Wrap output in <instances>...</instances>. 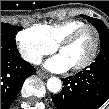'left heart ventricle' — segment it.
<instances>
[{
    "instance_id": "1",
    "label": "left heart ventricle",
    "mask_w": 109,
    "mask_h": 109,
    "mask_svg": "<svg viewBox=\"0 0 109 109\" xmlns=\"http://www.w3.org/2000/svg\"><path fill=\"white\" fill-rule=\"evenodd\" d=\"M95 44V33L92 29L84 30L76 41L66 47L61 55L70 66H76L85 61L91 54Z\"/></svg>"
}]
</instances>
